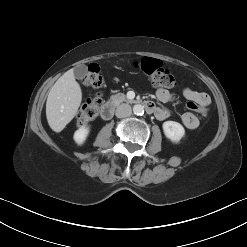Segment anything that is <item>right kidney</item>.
Returning a JSON list of instances; mask_svg holds the SVG:
<instances>
[{"mask_svg":"<svg viewBox=\"0 0 247 247\" xmlns=\"http://www.w3.org/2000/svg\"><path fill=\"white\" fill-rule=\"evenodd\" d=\"M89 132H90V128L87 126V127H81L79 128L75 133H74V141L78 144V145H82L88 135H89Z\"/></svg>","mask_w":247,"mask_h":247,"instance_id":"ca27d5eb","label":"right kidney"}]
</instances>
